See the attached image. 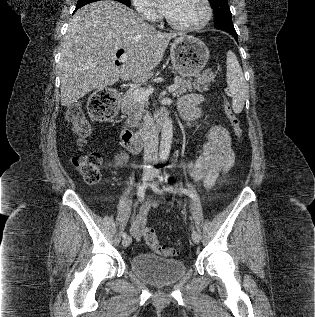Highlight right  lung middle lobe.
<instances>
[{"label":"right lung middle lobe","instance_id":"dd1d6c3e","mask_svg":"<svg viewBox=\"0 0 315 317\" xmlns=\"http://www.w3.org/2000/svg\"><path fill=\"white\" fill-rule=\"evenodd\" d=\"M96 1H99V0H78L76 8H81L82 6H84L86 4L96 2ZM115 1H119L127 6H130V4H131L130 0H115Z\"/></svg>","mask_w":315,"mask_h":317}]
</instances>
